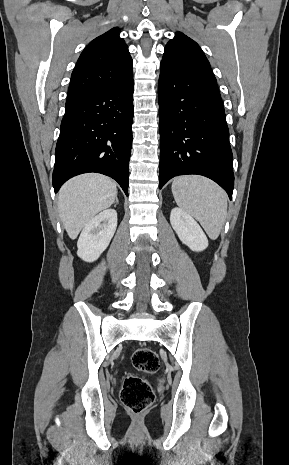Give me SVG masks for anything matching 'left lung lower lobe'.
<instances>
[{
	"instance_id": "left-lung-lower-lobe-1",
	"label": "left lung lower lobe",
	"mask_w": 289,
	"mask_h": 465,
	"mask_svg": "<svg viewBox=\"0 0 289 465\" xmlns=\"http://www.w3.org/2000/svg\"><path fill=\"white\" fill-rule=\"evenodd\" d=\"M160 182L199 174L232 198L233 156L216 81L160 72L158 84Z\"/></svg>"
}]
</instances>
